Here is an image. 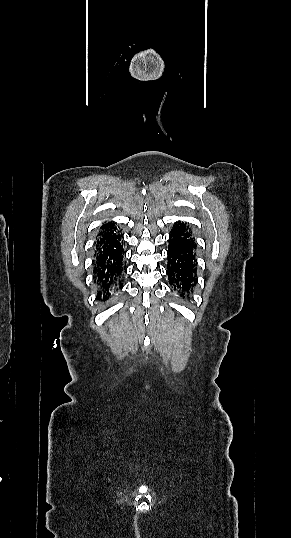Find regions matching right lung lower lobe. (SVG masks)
Listing matches in <instances>:
<instances>
[{
    "instance_id": "right-lung-lower-lobe-1",
    "label": "right lung lower lobe",
    "mask_w": 291,
    "mask_h": 538,
    "mask_svg": "<svg viewBox=\"0 0 291 538\" xmlns=\"http://www.w3.org/2000/svg\"><path fill=\"white\" fill-rule=\"evenodd\" d=\"M114 224L101 227L95 244V283L100 291L98 299L108 300L113 292L122 287L125 274L122 234Z\"/></svg>"
}]
</instances>
